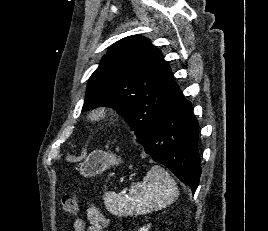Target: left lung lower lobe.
Returning <instances> with one entry per match:
<instances>
[{
    "mask_svg": "<svg viewBox=\"0 0 268 231\" xmlns=\"http://www.w3.org/2000/svg\"><path fill=\"white\" fill-rule=\"evenodd\" d=\"M198 136L191 103L180 92L155 126L137 140L154 161L169 168L194 193L201 174Z\"/></svg>",
    "mask_w": 268,
    "mask_h": 231,
    "instance_id": "0a47b994",
    "label": "left lung lower lobe"
}]
</instances>
